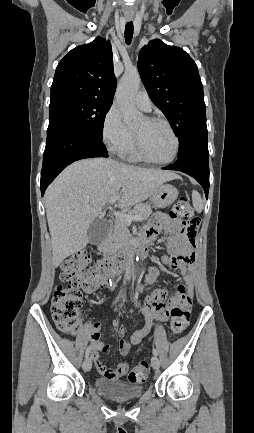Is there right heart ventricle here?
Masks as SVG:
<instances>
[{"label":"right heart ventricle","instance_id":"obj_1","mask_svg":"<svg viewBox=\"0 0 254 433\" xmlns=\"http://www.w3.org/2000/svg\"><path fill=\"white\" fill-rule=\"evenodd\" d=\"M122 156L128 159L129 161L138 162L142 160L136 150L135 141L132 142L130 147L122 154Z\"/></svg>","mask_w":254,"mask_h":433}]
</instances>
